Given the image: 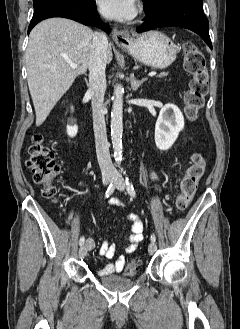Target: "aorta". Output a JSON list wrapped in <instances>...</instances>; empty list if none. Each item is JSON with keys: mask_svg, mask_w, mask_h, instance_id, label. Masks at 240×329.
Segmentation results:
<instances>
[{"mask_svg": "<svg viewBox=\"0 0 240 329\" xmlns=\"http://www.w3.org/2000/svg\"><path fill=\"white\" fill-rule=\"evenodd\" d=\"M123 87L117 84L114 88V102L111 111V140L116 161L122 159L123 133Z\"/></svg>", "mask_w": 240, "mask_h": 329, "instance_id": "aorta-1", "label": "aorta"}]
</instances>
